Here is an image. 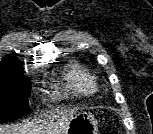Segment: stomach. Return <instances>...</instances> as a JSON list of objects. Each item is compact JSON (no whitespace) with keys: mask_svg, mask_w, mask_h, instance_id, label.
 <instances>
[{"mask_svg":"<svg viewBox=\"0 0 153 134\" xmlns=\"http://www.w3.org/2000/svg\"><path fill=\"white\" fill-rule=\"evenodd\" d=\"M64 134H98L97 120L89 112H77Z\"/></svg>","mask_w":153,"mask_h":134,"instance_id":"1","label":"stomach"}]
</instances>
